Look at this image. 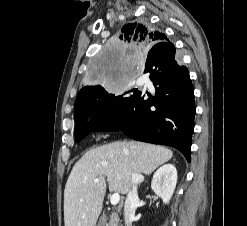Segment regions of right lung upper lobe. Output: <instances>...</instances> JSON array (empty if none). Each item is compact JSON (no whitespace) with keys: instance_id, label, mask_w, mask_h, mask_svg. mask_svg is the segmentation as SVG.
<instances>
[{"instance_id":"1","label":"right lung upper lobe","mask_w":247,"mask_h":226,"mask_svg":"<svg viewBox=\"0 0 247 226\" xmlns=\"http://www.w3.org/2000/svg\"><path fill=\"white\" fill-rule=\"evenodd\" d=\"M118 39L122 46L137 44L152 47L155 44L168 41L165 34L158 31L150 24L141 22L125 24L121 29ZM97 89H99L97 85L83 87L78 93L75 104L93 94Z\"/></svg>"}]
</instances>
